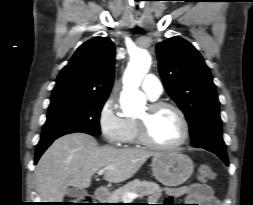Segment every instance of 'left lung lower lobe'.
Masks as SVG:
<instances>
[{
	"mask_svg": "<svg viewBox=\"0 0 253 205\" xmlns=\"http://www.w3.org/2000/svg\"><path fill=\"white\" fill-rule=\"evenodd\" d=\"M201 148H204V149H206L210 152H213L218 157H220L227 166L229 165L226 150L219 149V148H214V147H201Z\"/></svg>",
	"mask_w": 253,
	"mask_h": 205,
	"instance_id": "obj_1",
	"label": "left lung lower lobe"
}]
</instances>
